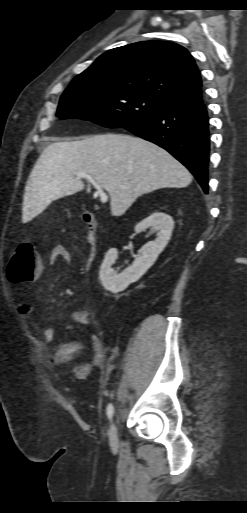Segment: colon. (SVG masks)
<instances>
[{
    "mask_svg": "<svg viewBox=\"0 0 247 513\" xmlns=\"http://www.w3.org/2000/svg\"><path fill=\"white\" fill-rule=\"evenodd\" d=\"M41 271V264L30 242L18 244L8 265L7 276L11 283L19 284L33 281Z\"/></svg>",
    "mask_w": 247,
    "mask_h": 513,
    "instance_id": "1",
    "label": "colon"
}]
</instances>
